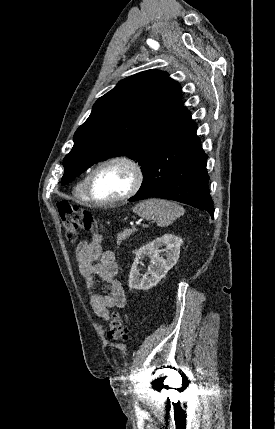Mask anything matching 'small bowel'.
<instances>
[{"label": "small bowel", "instance_id": "1", "mask_svg": "<svg viewBox=\"0 0 275 429\" xmlns=\"http://www.w3.org/2000/svg\"><path fill=\"white\" fill-rule=\"evenodd\" d=\"M79 271L86 280V289L94 312L101 318H110V308H124L127 303L125 292L117 280V263L112 251L102 249V237L93 235L92 240L79 243L76 248ZM96 277L108 285V293L98 291Z\"/></svg>", "mask_w": 275, "mask_h": 429}]
</instances>
